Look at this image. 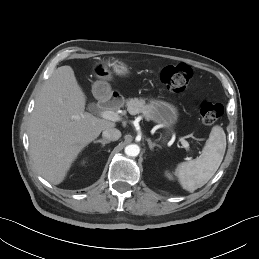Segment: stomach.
Returning a JSON list of instances; mask_svg holds the SVG:
<instances>
[{
  "label": "stomach",
  "instance_id": "0dacf381",
  "mask_svg": "<svg viewBox=\"0 0 259 259\" xmlns=\"http://www.w3.org/2000/svg\"><path fill=\"white\" fill-rule=\"evenodd\" d=\"M112 69V71L110 70ZM94 73L98 80L94 83V91L101 95L110 93L108 81L112 79V73L119 76H125L129 73L128 66L119 61H105L97 64ZM150 107L149 119L162 124L167 134H171L179 120V111L177 107L169 102L151 99L148 105Z\"/></svg>",
  "mask_w": 259,
  "mask_h": 259
}]
</instances>
